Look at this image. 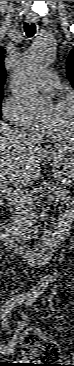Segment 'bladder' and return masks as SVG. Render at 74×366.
<instances>
[{
	"mask_svg": "<svg viewBox=\"0 0 74 366\" xmlns=\"http://www.w3.org/2000/svg\"><path fill=\"white\" fill-rule=\"evenodd\" d=\"M27 366H35V365H27Z\"/></svg>",
	"mask_w": 74,
	"mask_h": 366,
	"instance_id": "1",
	"label": "bladder"
}]
</instances>
